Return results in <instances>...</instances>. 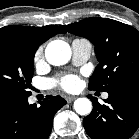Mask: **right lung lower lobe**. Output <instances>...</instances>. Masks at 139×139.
<instances>
[{
  "label": "right lung lower lobe",
  "instance_id": "right-lung-lower-lobe-1",
  "mask_svg": "<svg viewBox=\"0 0 139 139\" xmlns=\"http://www.w3.org/2000/svg\"><path fill=\"white\" fill-rule=\"evenodd\" d=\"M66 103L48 95L37 107L27 96L0 94V139H47L55 113Z\"/></svg>",
  "mask_w": 139,
  "mask_h": 139
}]
</instances>
